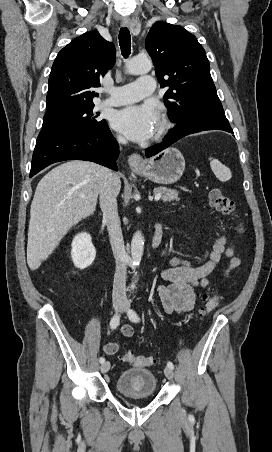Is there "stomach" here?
<instances>
[{
  "instance_id": "stomach-1",
  "label": "stomach",
  "mask_w": 272,
  "mask_h": 452,
  "mask_svg": "<svg viewBox=\"0 0 272 452\" xmlns=\"http://www.w3.org/2000/svg\"><path fill=\"white\" fill-rule=\"evenodd\" d=\"M185 169V159L176 148H167L146 161L135 171L158 184H171L178 181Z\"/></svg>"
}]
</instances>
